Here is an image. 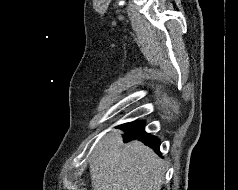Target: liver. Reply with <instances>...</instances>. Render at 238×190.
<instances>
[{
	"label": "liver",
	"instance_id": "obj_1",
	"mask_svg": "<svg viewBox=\"0 0 238 190\" xmlns=\"http://www.w3.org/2000/svg\"><path fill=\"white\" fill-rule=\"evenodd\" d=\"M165 164L139 141L123 143L114 130L95 147L90 162L93 190H161Z\"/></svg>",
	"mask_w": 238,
	"mask_h": 190
}]
</instances>
